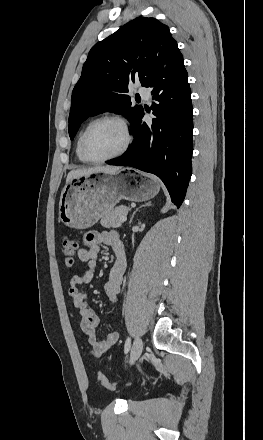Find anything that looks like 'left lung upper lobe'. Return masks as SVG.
Here are the masks:
<instances>
[{
  "instance_id": "5c2ea615",
  "label": "left lung upper lobe",
  "mask_w": 263,
  "mask_h": 440,
  "mask_svg": "<svg viewBox=\"0 0 263 440\" xmlns=\"http://www.w3.org/2000/svg\"><path fill=\"white\" fill-rule=\"evenodd\" d=\"M177 48L168 26L146 17L95 44L72 92L70 138L85 119L106 111L122 114L133 124L143 108L131 105L126 95L129 82L140 80L147 87Z\"/></svg>"
}]
</instances>
